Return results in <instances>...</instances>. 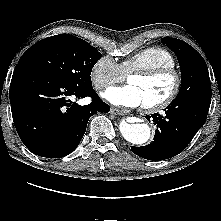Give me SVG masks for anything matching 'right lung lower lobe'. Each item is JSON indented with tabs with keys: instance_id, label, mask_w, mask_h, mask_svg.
<instances>
[{
	"instance_id": "1",
	"label": "right lung lower lobe",
	"mask_w": 221,
	"mask_h": 221,
	"mask_svg": "<svg viewBox=\"0 0 221 221\" xmlns=\"http://www.w3.org/2000/svg\"><path fill=\"white\" fill-rule=\"evenodd\" d=\"M12 117L18 135L34 154L61 158L76 149L86 131L89 118L107 113L93 87L68 85L29 66H16L9 90ZM91 97L80 106L71 98Z\"/></svg>"
}]
</instances>
